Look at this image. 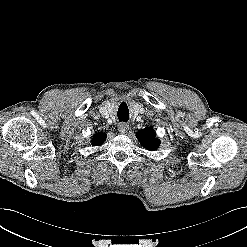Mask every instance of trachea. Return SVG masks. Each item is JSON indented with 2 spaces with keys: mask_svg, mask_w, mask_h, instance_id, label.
<instances>
[{
  "mask_svg": "<svg viewBox=\"0 0 247 247\" xmlns=\"http://www.w3.org/2000/svg\"><path fill=\"white\" fill-rule=\"evenodd\" d=\"M117 115H118V118L120 121L126 122L129 118V111H128V109H123L120 107L118 109Z\"/></svg>",
  "mask_w": 247,
  "mask_h": 247,
  "instance_id": "obj_1",
  "label": "trachea"
}]
</instances>
